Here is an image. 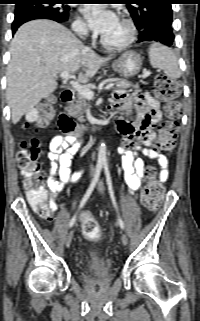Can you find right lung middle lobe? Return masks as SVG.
<instances>
[{"label":"right lung middle lobe","mask_w":200,"mask_h":321,"mask_svg":"<svg viewBox=\"0 0 200 321\" xmlns=\"http://www.w3.org/2000/svg\"><path fill=\"white\" fill-rule=\"evenodd\" d=\"M68 3L69 0H23L16 4L15 15L28 11L48 12L66 22L70 9Z\"/></svg>","instance_id":"obj_1"}]
</instances>
